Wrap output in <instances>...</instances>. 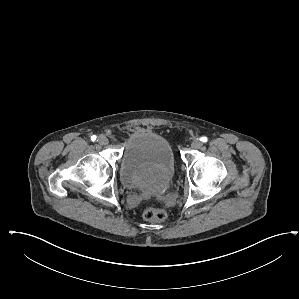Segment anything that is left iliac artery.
<instances>
[{
    "mask_svg": "<svg viewBox=\"0 0 299 299\" xmlns=\"http://www.w3.org/2000/svg\"><path fill=\"white\" fill-rule=\"evenodd\" d=\"M203 143H206L207 141H208V138L207 137H202L201 139H200Z\"/></svg>",
    "mask_w": 299,
    "mask_h": 299,
    "instance_id": "44dca946",
    "label": "left iliac artery"
}]
</instances>
